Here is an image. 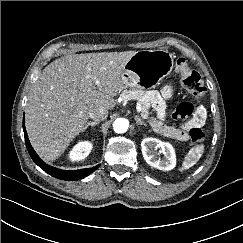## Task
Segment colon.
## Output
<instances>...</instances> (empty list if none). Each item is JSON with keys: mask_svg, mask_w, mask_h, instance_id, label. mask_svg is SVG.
I'll list each match as a JSON object with an SVG mask.
<instances>
[{"mask_svg": "<svg viewBox=\"0 0 243 243\" xmlns=\"http://www.w3.org/2000/svg\"><path fill=\"white\" fill-rule=\"evenodd\" d=\"M175 68L181 75L183 87L197 99L202 98L207 89L201 75L191 69L184 58L177 59ZM192 116H194V108L188 102L178 104L172 114V118L176 121L190 119ZM188 137L192 142H202L204 140V132L198 127H192L188 131Z\"/></svg>", "mask_w": 243, "mask_h": 243, "instance_id": "5ec220e1", "label": "colon"}]
</instances>
